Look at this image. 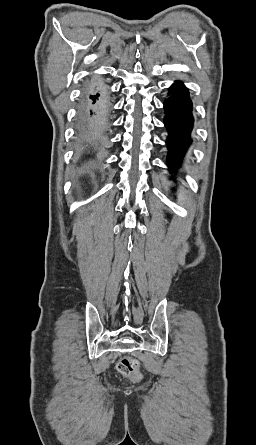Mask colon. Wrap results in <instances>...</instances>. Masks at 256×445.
<instances>
[{
  "label": "colon",
  "mask_w": 256,
  "mask_h": 445,
  "mask_svg": "<svg viewBox=\"0 0 256 445\" xmlns=\"http://www.w3.org/2000/svg\"><path fill=\"white\" fill-rule=\"evenodd\" d=\"M117 370L119 373L127 377H139L138 363L130 357H123L117 365Z\"/></svg>",
  "instance_id": "obj_1"
}]
</instances>
